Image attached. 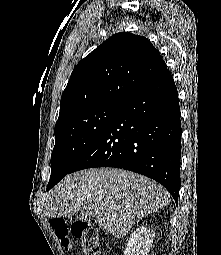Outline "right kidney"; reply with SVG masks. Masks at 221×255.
Masks as SVG:
<instances>
[{"mask_svg": "<svg viewBox=\"0 0 221 255\" xmlns=\"http://www.w3.org/2000/svg\"><path fill=\"white\" fill-rule=\"evenodd\" d=\"M154 232L146 226L136 228L126 244L124 255H148Z\"/></svg>", "mask_w": 221, "mask_h": 255, "instance_id": "obj_1", "label": "right kidney"}]
</instances>
